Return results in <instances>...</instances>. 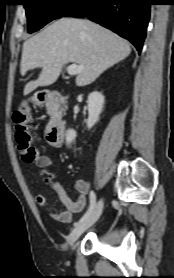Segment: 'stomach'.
<instances>
[{"instance_id":"stomach-1","label":"stomach","mask_w":174,"mask_h":278,"mask_svg":"<svg viewBox=\"0 0 174 278\" xmlns=\"http://www.w3.org/2000/svg\"><path fill=\"white\" fill-rule=\"evenodd\" d=\"M33 102H34V103H37L35 99H33Z\"/></svg>"}]
</instances>
